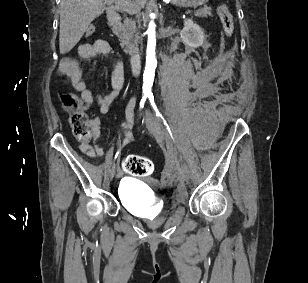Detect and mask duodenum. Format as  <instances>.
<instances>
[{
  "instance_id": "410a0bca",
  "label": "duodenum",
  "mask_w": 308,
  "mask_h": 283,
  "mask_svg": "<svg viewBox=\"0 0 308 283\" xmlns=\"http://www.w3.org/2000/svg\"><path fill=\"white\" fill-rule=\"evenodd\" d=\"M107 24L111 29L117 28L120 24V17L116 14L110 15L107 19ZM129 65L134 74L139 72L141 67V55L139 52L135 51L130 54Z\"/></svg>"
}]
</instances>
